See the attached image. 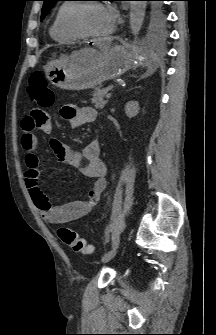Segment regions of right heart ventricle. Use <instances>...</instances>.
I'll return each mask as SVG.
<instances>
[{
	"label": "right heart ventricle",
	"instance_id": "e07e8e85",
	"mask_svg": "<svg viewBox=\"0 0 216 335\" xmlns=\"http://www.w3.org/2000/svg\"><path fill=\"white\" fill-rule=\"evenodd\" d=\"M75 4L71 2L62 3L56 10L49 33L52 39L59 43H70L79 40L82 36L74 33L68 27V16Z\"/></svg>",
	"mask_w": 216,
	"mask_h": 335
}]
</instances>
